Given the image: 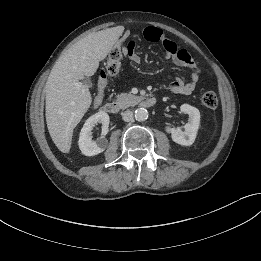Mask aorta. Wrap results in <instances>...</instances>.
<instances>
[{
	"instance_id": "obj_1",
	"label": "aorta",
	"mask_w": 261,
	"mask_h": 261,
	"mask_svg": "<svg viewBox=\"0 0 261 261\" xmlns=\"http://www.w3.org/2000/svg\"><path fill=\"white\" fill-rule=\"evenodd\" d=\"M135 119L139 122H143L148 119V111L145 108H138L135 111Z\"/></svg>"
}]
</instances>
